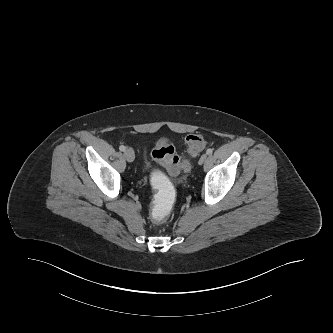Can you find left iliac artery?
I'll use <instances>...</instances> for the list:
<instances>
[{
  "mask_svg": "<svg viewBox=\"0 0 333 333\" xmlns=\"http://www.w3.org/2000/svg\"><path fill=\"white\" fill-rule=\"evenodd\" d=\"M213 153V150L211 148L207 149L206 154L211 155Z\"/></svg>",
  "mask_w": 333,
  "mask_h": 333,
  "instance_id": "obj_1",
  "label": "left iliac artery"
}]
</instances>
